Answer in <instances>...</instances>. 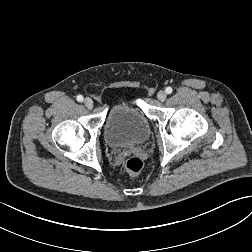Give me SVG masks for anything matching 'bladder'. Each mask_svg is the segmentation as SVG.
Instances as JSON below:
<instances>
[{"mask_svg": "<svg viewBox=\"0 0 252 252\" xmlns=\"http://www.w3.org/2000/svg\"><path fill=\"white\" fill-rule=\"evenodd\" d=\"M150 136V125L146 116L128 102H116L108 110L104 137L112 148L141 144Z\"/></svg>", "mask_w": 252, "mask_h": 252, "instance_id": "obj_1", "label": "bladder"}]
</instances>
